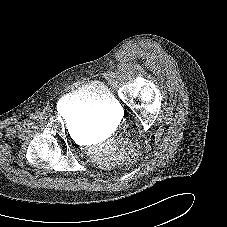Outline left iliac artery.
<instances>
[{
	"mask_svg": "<svg viewBox=\"0 0 227 227\" xmlns=\"http://www.w3.org/2000/svg\"><path fill=\"white\" fill-rule=\"evenodd\" d=\"M110 77H112V78H114L115 76H116V74L114 73V72H109V74H108Z\"/></svg>",
	"mask_w": 227,
	"mask_h": 227,
	"instance_id": "obj_1",
	"label": "left iliac artery"
}]
</instances>
